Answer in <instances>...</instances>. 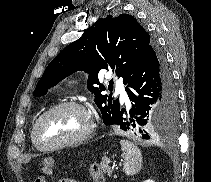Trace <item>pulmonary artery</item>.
I'll list each match as a JSON object with an SVG mask.
<instances>
[{
	"label": "pulmonary artery",
	"mask_w": 211,
	"mask_h": 182,
	"mask_svg": "<svg viewBox=\"0 0 211 182\" xmlns=\"http://www.w3.org/2000/svg\"><path fill=\"white\" fill-rule=\"evenodd\" d=\"M116 91L120 95L121 100L128 103L129 99L124 87L122 85H118Z\"/></svg>",
	"instance_id": "obj_1"
}]
</instances>
